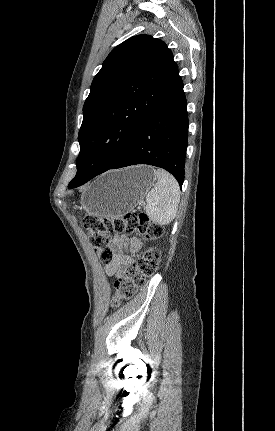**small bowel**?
Masks as SVG:
<instances>
[{
  "label": "small bowel",
  "mask_w": 275,
  "mask_h": 431,
  "mask_svg": "<svg viewBox=\"0 0 275 431\" xmlns=\"http://www.w3.org/2000/svg\"><path fill=\"white\" fill-rule=\"evenodd\" d=\"M140 244L136 238L129 241L124 235H115L111 242L113 258L105 267L106 274L110 277H120L124 273L125 267L131 263L130 257L125 253L126 246L129 245L131 250H137Z\"/></svg>",
  "instance_id": "obj_1"
}]
</instances>
